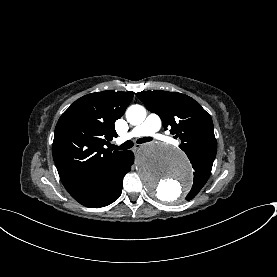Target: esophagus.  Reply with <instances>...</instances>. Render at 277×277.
Here are the masks:
<instances>
[{
	"instance_id": "obj_1",
	"label": "esophagus",
	"mask_w": 277,
	"mask_h": 277,
	"mask_svg": "<svg viewBox=\"0 0 277 277\" xmlns=\"http://www.w3.org/2000/svg\"><path fill=\"white\" fill-rule=\"evenodd\" d=\"M143 145L142 144H136L135 149L141 148Z\"/></svg>"
}]
</instances>
